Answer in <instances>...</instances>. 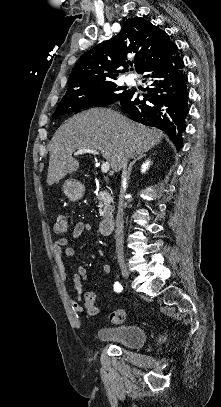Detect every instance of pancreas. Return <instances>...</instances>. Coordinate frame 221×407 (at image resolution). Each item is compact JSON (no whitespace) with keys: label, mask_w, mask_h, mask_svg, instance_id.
<instances>
[{"label":"pancreas","mask_w":221,"mask_h":407,"mask_svg":"<svg viewBox=\"0 0 221 407\" xmlns=\"http://www.w3.org/2000/svg\"><path fill=\"white\" fill-rule=\"evenodd\" d=\"M99 214L101 217L106 216L111 211L112 198L107 191L101 190L97 195Z\"/></svg>","instance_id":"obj_1"}]
</instances>
